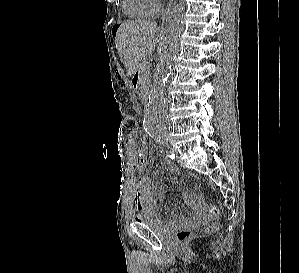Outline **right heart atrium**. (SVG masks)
<instances>
[{
  "label": "right heart atrium",
  "instance_id": "1",
  "mask_svg": "<svg viewBox=\"0 0 299 273\" xmlns=\"http://www.w3.org/2000/svg\"><path fill=\"white\" fill-rule=\"evenodd\" d=\"M147 1L152 8L156 9L159 5L160 0H147Z\"/></svg>",
  "mask_w": 299,
  "mask_h": 273
}]
</instances>
